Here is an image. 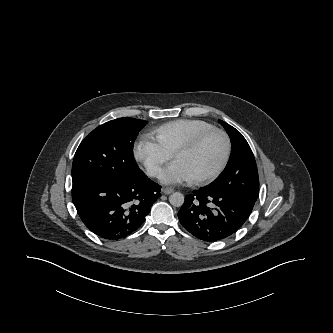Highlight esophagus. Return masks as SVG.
<instances>
[{
	"instance_id": "1",
	"label": "esophagus",
	"mask_w": 333,
	"mask_h": 333,
	"mask_svg": "<svg viewBox=\"0 0 333 333\" xmlns=\"http://www.w3.org/2000/svg\"><path fill=\"white\" fill-rule=\"evenodd\" d=\"M162 192H163L165 195H168V194L173 193V192H174V189H173V188L166 187V188H163V189H162Z\"/></svg>"
}]
</instances>
